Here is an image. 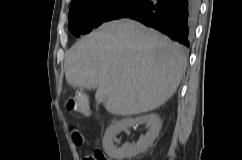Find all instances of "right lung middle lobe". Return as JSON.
Here are the masks:
<instances>
[{
  "instance_id": "1",
  "label": "right lung middle lobe",
  "mask_w": 242,
  "mask_h": 160,
  "mask_svg": "<svg viewBox=\"0 0 242 160\" xmlns=\"http://www.w3.org/2000/svg\"><path fill=\"white\" fill-rule=\"evenodd\" d=\"M143 0H83L70 6L68 26L75 36L89 33L103 22L119 19Z\"/></svg>"
}]
</instances>
